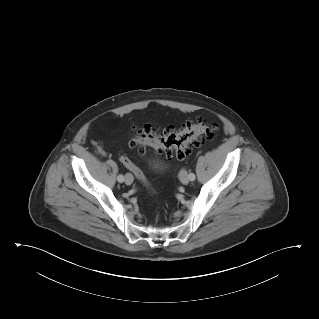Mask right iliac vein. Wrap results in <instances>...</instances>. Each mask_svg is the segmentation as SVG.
<instances>
[{
    "instance_id": "63e3f726",
    "label": "right iliac vein",
    "mask_w": 319,
    "mask_h": 319,
    "mask_svg": "<svg viewBox=\"0 0 319 319\" xmlns=\"http://www.w3.org/2000/svg\"><path fill=\"white\" fill-rule=\"evenodd\" d=\"M133 176L131 175V174H126L125 175V183L127 184V185H131L132 183H133Z\"/></svg>"
}]
</instances>
